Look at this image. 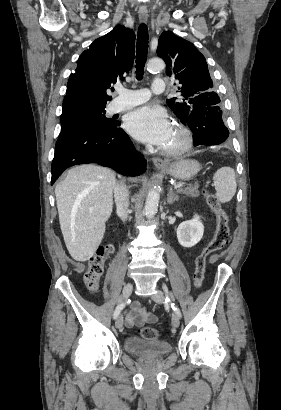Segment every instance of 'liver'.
Wrapping results in <instances>:
<instances>
[{
    "mask_svg": "<svg viewBox=\"0 0 281 410\" xmlns=\"http://www.w3.org/2000/svg\"><path fill=\"white\" fill-rule=\"evenodd\" d=\"M115 181L112 170L85 164L70 169L56 185L59 223L74 260H88L100 245L113 210Z\"/></svg>",
    "mask_w": 281,
    "mask_h": 410,
    "instance_id": "1",
    "label": "liver"
}]
</instances>
